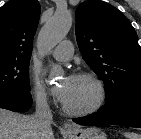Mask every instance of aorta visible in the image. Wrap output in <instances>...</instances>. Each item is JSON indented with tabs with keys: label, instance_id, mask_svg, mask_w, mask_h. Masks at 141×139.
<instances>
[{
	"label": "aorta",
	"instance_id": "aorta-1",
	"mask_svg": "<svg viewBox=\"0 0 141 139\" xmlns=\"http://www.w3.org/2000/svg\"><path fill=\"white\" fill-rule=\"evenodd\" d=\"M72 26V17L68 13L57 12L46 23L41 31L38 47L42 52H49L68 34ZM56 72H52L50 77H54Z\"/></svg>",
	"mask_w": 141,
	"mask_h": 139
}]
</instances>
